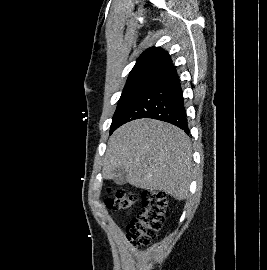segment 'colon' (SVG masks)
<instances>
[{
    "label": "colon",
    "instance_id": "colon-1",
    "mask_svg": "<svg viewBox=\"0 0 267 270\" xmlns=\"http://www.w3.org/2000/svg\"><path fill=\"white\" fill-rule=\"evenodd\" d=\"M133 194L115 191L105 200L106 206L114 211H130L136 204ZM166 196L160 191H146L142 195V208L126 226V236L138 246L150 244L157 236L164 221Z\"/></svg>",
    "mask_w": 267,
    "mask_h": 270
}]
</instances>
